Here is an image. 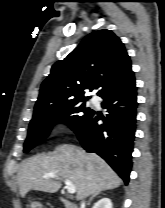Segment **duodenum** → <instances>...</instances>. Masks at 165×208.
I'll list each match as a JSON object with an SVG mask.
<instances>
[{
	"label": "duodenum",
	"mask_w": 165,
	"mask_h": 208,
	"mask_svg": "<svg viewBox=\"0 0 165 208\" xmlns=\"http://www.w3.org/2000/svg\"><path fill=\"white\" fill-rule=\"evenodd\" d=\"M63 206L65 208H77L76 205H74L69 199H67L66 197H61L60 198Z\"/></svg>",
	"instance_id": "410a0bca"
}]
</instances>
